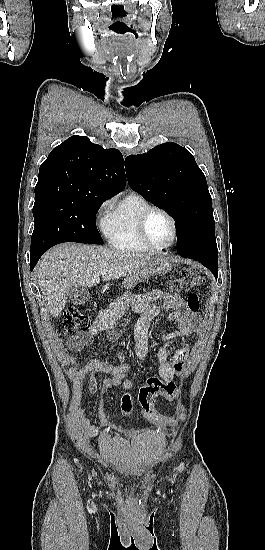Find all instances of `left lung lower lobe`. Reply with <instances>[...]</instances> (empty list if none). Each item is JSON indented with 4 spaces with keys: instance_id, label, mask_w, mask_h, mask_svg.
Listing matches in <instances>:
<instances>
[{
    "instance_id": "0a47b994",
    "label": "left lung lower lobe",
    "mask_w": 265,
    "mask_h": 550,
    "mask_svg": "<svg viewBox=\"0 0 265 550\" xmlns=\"http://www.w3.org/2000/svg\"><path fill=\"white\" fill-rule=\"evenodd\" d=\"M181 256V255H180ZM182 257L195 259L202 265L206 266L214 274L215 278L218 275V255L211 250H202L195 253L185 254Z\"/></svg>"
}]
</instances>
